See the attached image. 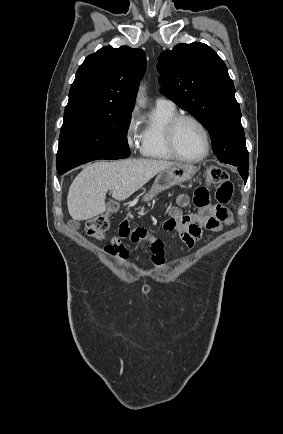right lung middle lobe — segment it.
Here are the masks:
<instances>
[{
    "instance_id": "1",
    "label": "right lung middle lobe",
    "mask_w": 283,
    "mask_h": 434,
    "mask_svg": "<svg viewBox=\"0 0 283 434\" xmlns=\"http://www.w3.org/2000/svg\"><path fill=\"white\" fill-rule=\"evenodd\" d=\"M131 116L127 113L64 119L57 152L58 173L92 160L128 157L127 130Z\"/></svg>"
}]
</instances>
